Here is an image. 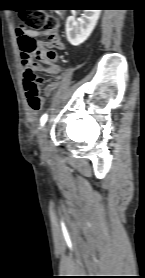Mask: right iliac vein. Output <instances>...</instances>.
<instances>
[{
	"instance_id": "right-iliac-vein-1",
	"label": "right iliac vein",
	"mask_w": 145,
	"mask_h": 278,
	"mask_svg": "<svg viewBox=\"0 0 145 278\" xmlns=\"http://www.w3.org/2000/svg\"><path fill=\"white\" fill-rule=\"evenodd\" d=\"M47 132H48V127H47V125H44L41 130V133L39 135V138H38L40 149L43 152H46L49 150V145L47 142Z\"/></svg>"
}]
</instances>
